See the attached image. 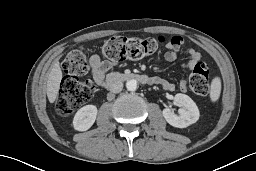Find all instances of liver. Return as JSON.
<instances>
[{
	"mask_svg": "<svg viewBox=\"0 0 256 171\" xmlns=\"http://www.w3.org/2000/svg\"><path fill=\"white\" fill-rule=\"evenodd\" d=\"M62 79V71L59 62L55 61L48 75L47 97L50 103H54L58 96V90Z\"/></svg>",
	"mask_w": 256,
	"mask_h": 171,
	"instance_id": "liver-1",
	"label": "liver"
}]
</instances>
